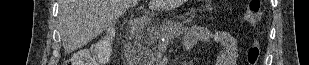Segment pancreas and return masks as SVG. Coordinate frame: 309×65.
<instances>
[{
    "label": "pancreas",
    "mask_w": 309,
    "mask_h": 65,
    "mask_svg": "<svg viewBox=\"0 0 309 65\" xmlns=\"http://www.w3.org/2000/svg\"><path fill=\"white\" fill-rule=\"evenodd\" d=\"M173 26L169 21H164L161 24H151L148 33L142 37L141 43L144 45H137V58L143 61L146 58H153L156 52L155 42L159 39L161 35L172 31Z\"/></svg>",
    "instance_id": "cf45deb5"
}]
</instances>
